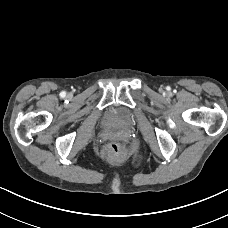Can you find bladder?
Here are the masks:
<instances>
[{
	"instance_id": "31cf9c89",
	"label": "bladder",
	"mask_w": 228,
	"mask_h": 228,
	"mask_svg": "<svg viewBox=\"0 0 228 228\" xmlns=\"http://www.w3.org/2000/svg\"><path fill=\"white\" fill-rule=\"evenodd\" d=\"M132 113L123 107H112L107 110L104 120L108 124L129 126L132 123Z\"/></svg>"
}]
</instances>
